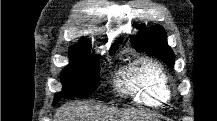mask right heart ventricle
<instances>
[{"label":"right heart ventricle","instance_id":"e07e8e85","mask_svg":"<svg viewBox=\"0 0 217 121\" xmlns=\"http://www.w3.org/2000/svg\"><path fill=\"white\" fill-rule=\"evenodd\" d=\"M124 74V79L117 80V86L123 93L152 106L160 105L169 99L168 78L157 63L140 60Z\"/></svg>","mask_w":217,"mask_h":121}]
</instances>
